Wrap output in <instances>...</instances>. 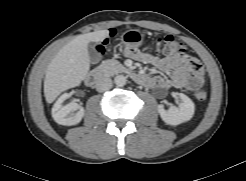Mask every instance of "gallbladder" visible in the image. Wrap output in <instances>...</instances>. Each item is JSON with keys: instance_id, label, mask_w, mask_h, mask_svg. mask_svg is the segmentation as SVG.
Returning <instances> with one entry per match:
<instances>
[{"instance_id": "gallbladder-1", "label": "gallbladder", "mask_w": 246, "mask_h": 181, "mask_svg": "<svg viewBox=\"0 0 246 181\" xmlns=\"http://www.w3.org/2000/svg\"><path fill=\"white\" fill-rule=\"evenodd\" d=\"M88 51H89V57H90L91 62L96 63L100 60L101 54L97 50L96 44L90 43L88 45Z\"/></svg>"}]
</instances>
